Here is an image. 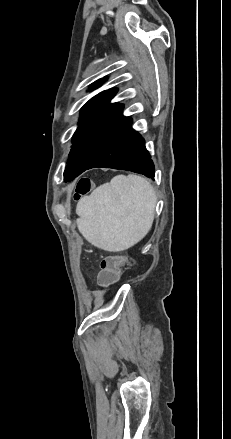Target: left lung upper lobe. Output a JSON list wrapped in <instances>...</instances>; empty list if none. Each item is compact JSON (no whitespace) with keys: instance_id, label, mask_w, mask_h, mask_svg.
Wrapping results in <instances>:
<instances>
[{"instance_id":"left-lung-upper-lobe-1","label":"left lung upper lobe","mask_w":231,"mask_h":439,"mask_svg":"<svg viewBox=\"0 0 231 439\" xmlns=\"http://www.w3.org/2000/svg\"><path fill=\"white\" fill-rule=\"evenodd\" d=\"M103 81H96L90 90L99 87ZM116 89L103 91L91 98L81 109L79 126L73 135L72 148L64 180L71 181L79 176L95 158L106 139L123 122V105L110 103Z\"/></svg>"}]
</instances>
